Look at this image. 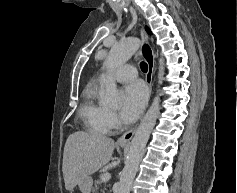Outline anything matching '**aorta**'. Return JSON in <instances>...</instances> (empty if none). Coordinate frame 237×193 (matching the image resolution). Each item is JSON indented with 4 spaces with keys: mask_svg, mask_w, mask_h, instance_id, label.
<instances>
[{
    "mask_svg": "<svg viewBox=\"0 0 237 193\" xmlns=\"http://www.w3.org/2000/svg\"><path fill=\"white\" fill-rule=\"evenodd\" d=\"M139 46L140 40L136 37H129L126 40L115 44L111 48L109 55L104 63L109 74H111L115 68L128 61L131 56L138 50ZM163 76L164 60L163 58H160L158 71L159 84H162ZM103 86V101L108 104L116 103L121 97V92L117 89L116 83L111 75L104 81ZM157 92H159V90ZM159 96L160 94H157L155 96L150 108L141 120L140 125L138 126L134 134L125 166L120 174L119 186L116 193H130L133 180L144 154L145 146L159 116Z\"/></svg>",
    "mask_w": 237,
    "mask_h": 193,
    "instance_id": "762f6f07",
    "label": "aorta"
}]
</instances>
